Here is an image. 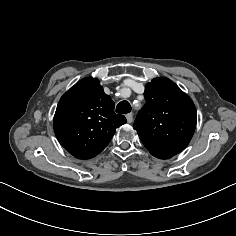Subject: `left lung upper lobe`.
<instances>
[{
    "mask_svg": "<svg viewBox=\"0 0 236 236\" xmlns=\"http://www.w3.org/2000/svg\"><path fill=\"white\" fill-rule=\"evenodd\" d=\"M146 104L133 128L149 152L170 158L189 144L197 122L191 98L168 78H155L145 87Z\"/></svg>",
    "mask_w": 236,
    "mask_h": 236,
    "instance_id": "1",
    "label": "left lung upper lobe"
}]
</instances>
